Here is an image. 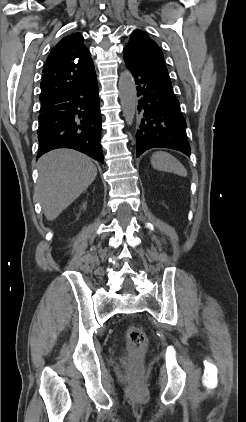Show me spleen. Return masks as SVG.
I'll return each mask as SVG.
<instances>
[{"label": "spleen", "instance_id": "1", "mask_svg": "<svg viewBox=\"0 0 246 422\" xmlns=\"http://www.w3.org/2000/svg\"><path fill=\"white\" fill-rule=\"evenodd\" d=\"M151 164L153 168L159 171L172 172L183 177L187 176V170L185 167L170 153L164 151H157L153 153L151 157Z\"/></svg>", "mask_w": 246, "mask_h": 422}]
</instances>
